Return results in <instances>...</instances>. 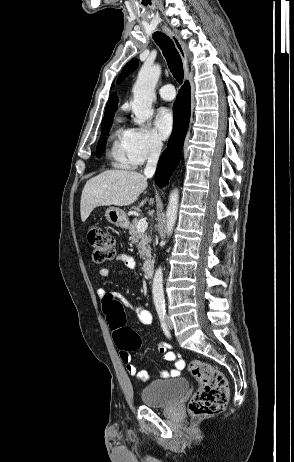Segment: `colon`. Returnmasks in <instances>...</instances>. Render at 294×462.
<instances>
[{
	"instance_id": "5ec220e1",
	"label": "colon",
	"mask_w": 294,
	"mask_h": 462,
	"mask_svg": "<svg viewBox=\"0 0 294 462\" xmlns=\"http://www.w3.org/2000/svg\"><path fill=\"white\" fill-rule=\"evenodd\" d=\"M87 239L92 248V258L96 263L110 261L115 256L114 239L98 226H89ZM102 310L109 327L113 330L116 346L125 352L138 350L142 346L140 336L126 325L123 306L112 292L102 298ZM188 370L201 386L189 402V410L197 416L220 413L228 402V382L224 374L212 365L200 360H192Z\"/></svg>"
}]
</instances>
